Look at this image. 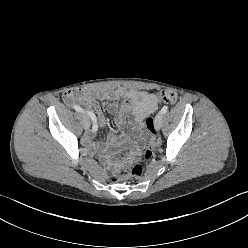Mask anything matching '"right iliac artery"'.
<instances>
[{"mask_svg": "<svg viewBox=\"0 0 248 248\" xmlns=\"http://www.w3.org/2000/svg\"><path fill=\"white\" fill-rule=\"evenodd\" d=\"M74 109L78 112H85L80 106L78 105H74ZM88 115L91 117L92 121H93V126H92V130H97L98 126H97V120L95 115L92 112H87Z\"/></svg>", "mask_w": 248, "mask_h": 248, "instance_id": "obj_1", "label": "right iliac artery"}]
</instances>
